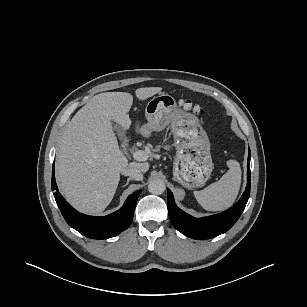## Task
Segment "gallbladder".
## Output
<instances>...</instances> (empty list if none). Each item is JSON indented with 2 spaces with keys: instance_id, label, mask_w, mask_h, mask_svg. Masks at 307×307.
Here are the masks:
<instances>
[{
  "instance_id": "1",
  "label": "gallbladder",
  "mask_w": 307,
  "mask_h": 307,
  "mask_svg": "<svg viewBox=\"0 0 307 307\" xmlns=\"http://www.w3.org/2000/svg\"><path fill=\"white\" fill-rule=\"evenodd\" d=\"M114 127H115L118 135L123 138L124 137V130L122 129V127L119 126L118 124H115Z\"/></svg>"
}]
</instances>
